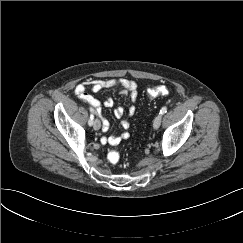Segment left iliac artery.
<instances>
[{"instance_id": "1", "label": "left iliac artery", "mask_w": 243, "mask_h": 243, "mask_svg": "<svg viewBox=\"0 0 243 243\" xmlns=\"http://www.w3.org/2000/svg\"><path fill=\"white\" fill-rule=\"evenodd\" d=\"M166 112H167V107L166 106L162 107L161 110H160V114L163 115Z\"/></svg>"}]
</instances>
